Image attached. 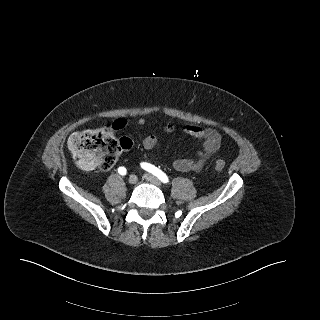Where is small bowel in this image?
<instances>
[{
	"label": "small bowel",
	"mask_w": 320,
	"mask_h": 320,
	"mask_svg": "<svg viewBox=\"0 0 320 320\" xmlns=\"http://www.w3.org/2000/svg\"><path fill=\"white\" fill-rule=\"evenodd\" d=\"M145 119L141 118L137 121L139 126H144ZM116 127L122 128L125 125L123 120L116 121ZM179 129L184 134L194 137L202 141V148L197 151L195 157L192 158H180L173 162V167L179 172H198L205 164L220 151L221 147V135L212 128H205L196 125L182 124L177 126L173 123H168L164 126V132L171 133L176 129ZM158 138L156 135L151 134L143 139L142 145L146 151H151L156 147Z\"/></svg>",
	"instance_id": "small-bowel-1"
}]
</instances>
